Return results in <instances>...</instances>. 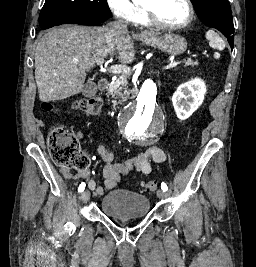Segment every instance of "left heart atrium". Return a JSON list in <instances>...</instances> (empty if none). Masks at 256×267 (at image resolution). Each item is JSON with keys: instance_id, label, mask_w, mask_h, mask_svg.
I'll list each match as a JSON object with an SVG mask.
<instances>
[{"instance_id": "obj_1", "label": "left heart atrium", "mask_w": 256, "mask_h": 267, "mask_svg": "<svg viewBox=\"0 0 256 267\" xmlns=\"http://www.w3.org/2000/svg\"><path fill=\"white\" fill-rule=\"evenodd\" d=\"M161 1H163V0H154L155 3H157V2H161Z\"/></svg>"}]
</instances>
